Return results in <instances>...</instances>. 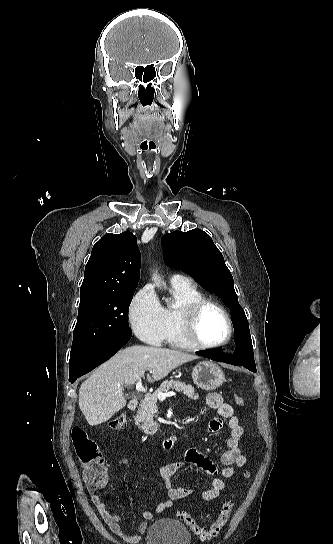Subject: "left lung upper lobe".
<instances>
[{"label":"left lung upper lobe","mask_w":333,"mask_h":544,"mask_svg":"<svg viewBox=\"0 0 333 544\" xmlns=\"http://www.w3.org/2000/svg\"><path fill=\"white\" fill-rule=\"evenodd\" d=\"M161 243L169 267L191 274L203 288L215 292L230 307L233 323L241 322L248 326L244 310L238 303L233 277L221 252L207 233L200 229L174 231L165 234ZM247 335L251 339L248 331ZM243 357L254 361L252 346H249Z\"/></svg>","instance_id":"obj_1"}]
</instances>
